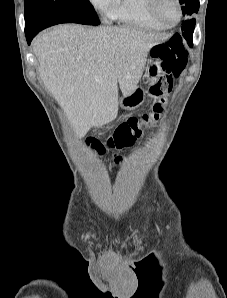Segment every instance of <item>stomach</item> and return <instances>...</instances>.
<instances>
[{"label":"stomach","instance_id":"stomach-1","mask_svg":"<svg viewBox=\"0 0 227 298\" xmlns=\"http://www.w3.org/2000/svg\"><path fill=\"white\" fill-rule=\"evenodd\" d=\"M161 63L156 59H150L145 68V78L148 83H156L161 75ZM146 91L143 87L137 86L129 95H123L120 99V107L125 110L138 108L145 100Z\"/></svg>","mask_w":227,"mask_h":298}]
</instances>
